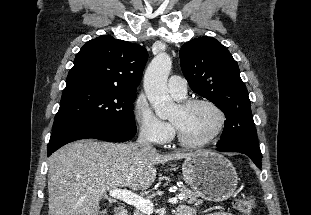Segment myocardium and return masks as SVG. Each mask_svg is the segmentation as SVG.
Instances as JSON below:
<instances>
[{
  "instance_id": "obj_1",
  "label": "myocardium",
  "mask_w": 311,
  "mask_h": 215,
  "mask_svg": "<svg viewBox=\"0 0 311 215\" xmlns=\"http://www.w3.org/2000/svg\"><path fill=\"white\" fill-rule=\"evenodd\" d=\"M199 104L207 105V106L211 107L217 113L218 119H219L218 125H217L216 129L214 130V132L209 137H207L206 139L199 141V142H191V141L186 140L182 136L178 127L172 122V125H173L175 133H176L177 141L179 142V144H181L182 146H184L186 148L198 149V148H203V147L209 145L222 133V131L225 127V124H226V116H225L224 111L215 102H213L212 100H209L207 98L186 99V100L181 101L178 104V106L183 110H187V109L191 108L192 106L199 105Z\"/></svg>"
}]
</instances>
